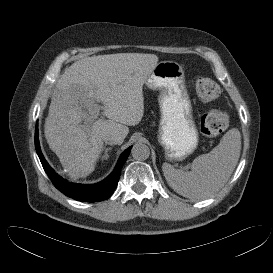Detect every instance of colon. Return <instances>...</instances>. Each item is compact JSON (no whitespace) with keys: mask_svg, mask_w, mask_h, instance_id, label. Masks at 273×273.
<instances>
[{"mask_svg":"<svg viewBox=\"0 0 273 273\" xmlns=\"http://www.w3.org/2000/svg\"><path fill=\"white\" fill-rule=\"evenodd\" d=\"M193 89L197 97L203 101L215 99L220 92L219 86L210 78L198 77L193 82ZM227 115L221 110H211L201 119L200 129L203 135L215 137L226 130Z\"/></svg>","mask_w":273,"mask_h":273,"instance_id":"1","label":"colon"}]
</instances>
